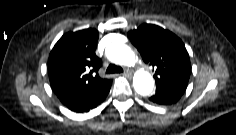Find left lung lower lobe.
Wrapping results in <instances>:
<instances>
[{
	"instance_id": "0a47b994",
	"label": "left lung lower lobe",
	"mask_w": 236,
	"mask_h": 135,
	"mask_svg": "<svg viewBox=\"0 0 236 135\" xmlns=\"http://www.w3.org/2000/svg\"><path fill=\"white\" fill-rule=\"evenodd\" d=\"M186 87L187 83H173L156 86V93L149 99L156 104L171 105L181 98Z\"/></svg>"
}]
</instances>
